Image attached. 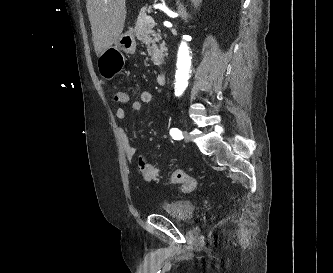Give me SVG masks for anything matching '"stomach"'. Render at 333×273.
<instances>
[{"label": "stomach", "instance_id": "obj_1", "mask_svg": "<svg viewBox=\"0 0 333 273\" xmlns=\"http://www.w3.org/2000/svg\"><path fill=\"white\" fill-rule=\"evenodd\" d=\"M136 50L135 34L132 29L121 34L114 46L103 53H99L98 69L100 74L106 78H112L119 70H122L124 53L134 54ZM122 51L124 53H116Z\"/></svg>", "mask_w": 333, "mask_h": 273}]
</instances>
